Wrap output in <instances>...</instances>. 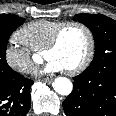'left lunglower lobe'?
Segmentation results:
<instances>
[{"instance_id": "left-lung-lower-lobe-1", "label": "left lung lower lobe", "mask_w": 116, "mask_h": 116, "mask_svg": "<svg viewBox=\"0 0 116 116\" xmlns=\"http://www.w3.org/2000/svg\"><path fill=\"white\" fill-rule=\"evenodd\" d=\"M63 101L66 116H116V70L82 72Z\"/></svg>"}]
</instances>
